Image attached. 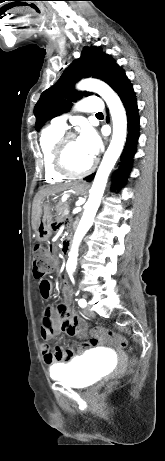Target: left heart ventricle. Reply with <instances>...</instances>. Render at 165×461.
<instances>
[{
    "label": "left heart ventricle",
    "mask_w": 165,
    "mask_h": 461,
    "mask_svg": "<svg viewBox=\"0 0 165 461\" xmlns=\"http://www.w3.org/2000/svg\"><path fill=\"white\" fill-rule=\"evenodd\" d=\"M93 160L80 145L78 138L71 139L67 144L66 161L75 171H81L88 167Z\"/></svg>",
    "instance_id": "b2bd125f"
}]
</instances>
